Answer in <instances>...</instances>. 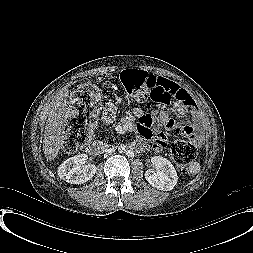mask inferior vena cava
<instances>
[{"mask_svg": "<svg viewBox=\"0 0 253 253\" xmlns=\"http://www.w3.org/2000/svg\"><path fill=\"white\" fill-rule=\"evenodd\" d=\"M107 154H108L109 156H112V155L114 154V150H113L112 148H109V149L107 150Z\"/></svg>", "mask_w": 253, "mask_h": 253, "instance_id": "obj_1", "label": "inferior vena cava"}]
</instances>
